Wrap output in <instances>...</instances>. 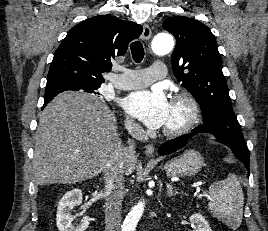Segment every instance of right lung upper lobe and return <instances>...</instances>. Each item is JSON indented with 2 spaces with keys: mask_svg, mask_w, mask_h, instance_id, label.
<instances>
[{
  "mask_svg": "<svg viewBox=\"0 0 268 231\" xmlns=\"http://www.w3.org/2000/svg\"><path fill=\"white\" fill-rule=\"evenodd\" d=\"M143 28L131 21L107 15L89 18L74 26L54 54L47 86L59 84L98 86L102 73L110 71L111 60L123 55ZM53 97L45 96V104Z\"/></svg>",
  "mask_w": 268,
  "mask_h": 231,
  "instance_id": "obj_1",
  "label": "right lung upper lobe"
}]
</instances>
